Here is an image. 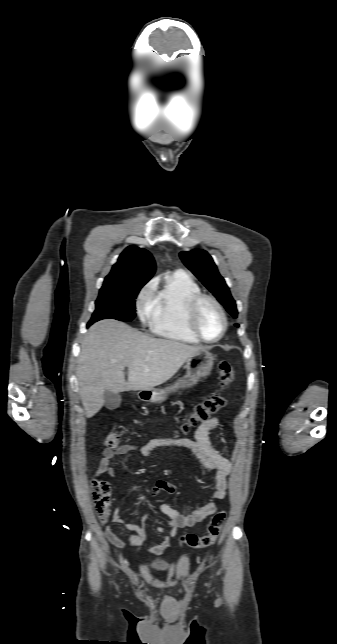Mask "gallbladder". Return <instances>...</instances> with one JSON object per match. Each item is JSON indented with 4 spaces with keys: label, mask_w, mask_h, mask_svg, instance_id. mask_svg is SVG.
I'll list each match as a JSON object with an SVG mask.
<instances>
[{
    "label": "gallbladder",
    "mask_w": 337,
    "mask_h": 644,
    "mask_svg": "<svg viewBox=\"0 0 337 644\" xmlns=\"http://www.w3.org/2000/svg\"><path fill=\"white\" fill-rule=\"evenodd\" d=\"M104 401L105 407L109 410H115L120 406L121 396L118 393H112L110 391L104 392Z\"/></svg>",
    "instance_id": "bac80fb5"
}]
</instances>
